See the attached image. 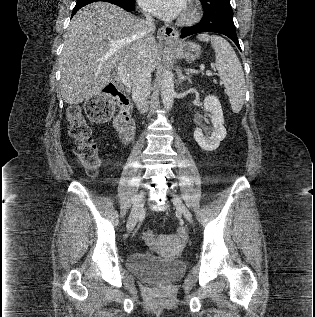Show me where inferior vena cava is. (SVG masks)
<instances>
[{
	"instance_id": "inferior-vena-cava-1",
	"label": "inferior vena cava",
	"mask_w": 315,
	"mask_h": 317,
	"mask_svg": "<svg viewBox=\"0 0 315 317\" xmlns=\"http://www.w3.org/2000/svg\"><path fill=\"white\" fill-rule=\"evenodd\" d=\"M145 20L141 21L142 34L144 40L147 42L153 38V32L155 30L154 19L151 15L145 14ZM146 44L142 45L141 54L146 53ZM151 92V70L148 67L143 69L133 78L132 98L136 103L138 110L141 113H145L148 110V97Z\"/></svg>"
}]
</instances>
